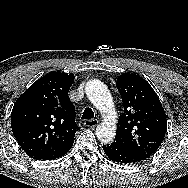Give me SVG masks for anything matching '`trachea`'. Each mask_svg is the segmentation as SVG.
Here are the masks:
<instances>
[{"instance_id": "3493384b", "label": "trachea", "mask_w": 188, "mask_h": 188, "mask_svg": "<svg viewBox=\"0 0 188 188\" xmlns=\"http://www.w3.org/2000/svg\"><path fill=\"white\" fill-rule=\"evenodd\" d=\"M94 117V112L91 108L87 107L83 111V115L81 117L82 120L92 119Z\"/></svg>"}]
</instances>
